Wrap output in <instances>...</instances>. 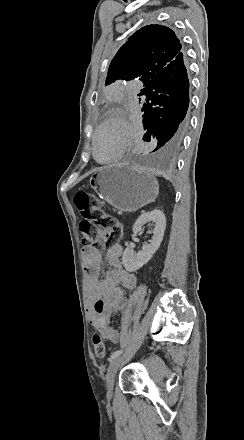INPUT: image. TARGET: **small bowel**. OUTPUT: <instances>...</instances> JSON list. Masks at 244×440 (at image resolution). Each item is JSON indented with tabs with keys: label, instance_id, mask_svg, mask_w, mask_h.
I'll use <instances>...</instances> for the list:
<instances>
[{
	"label": "small bowel",
	"instance_id": "small-bowel-1",
	"mask_svg": "<svg viewBox=\"0 0 244 440\" xmlns=\"http://www.w3.org/2000/svg\"><path fill=\"white\" fill-rule=\"evenodd\" d=\"M123 251L120 243H113L104 254L90 246L83 250L88 317L90 323L110 343H117L120 333L107 320L115 312L128 314L131 311L132 304L126 294L132 293L137 286L136 275L122 266ZM104 263L109 270L102 275Z\"/></svg>",
	"mask_w": 244,
	"mask_h": 440
}]
</instances>
